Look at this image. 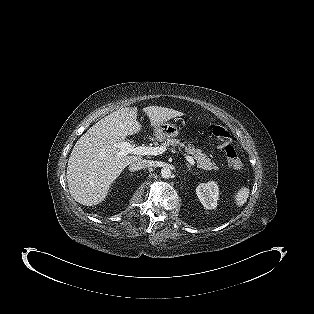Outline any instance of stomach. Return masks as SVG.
Segmentation results:
<instances>
[{
  "label": "stomach",
  "instance_id": "obj_1",
  "mask_svg": "<svg viewBox=\"0 0 314 314\" xmlns=\"http://www.w3.org/2000/svg\"><path fill=\"white\" fill-rule=\"evenodd\" d=\"M156 139L162 141L167 138L176 137L179 134L178 128L174 124L163 122L153 127Z\"/></svg>",
  "mask_w": 314,
  "mask_h": 314
}]
</instances>
